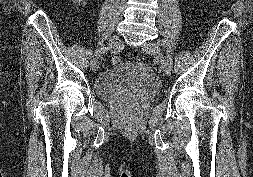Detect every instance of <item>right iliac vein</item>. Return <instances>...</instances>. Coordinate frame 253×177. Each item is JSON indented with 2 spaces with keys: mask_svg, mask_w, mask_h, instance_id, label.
<instances>
[{
  "mask_svg": "<svg viewBox=\"0 0 253 177\" xmlns=\"http://www.w3.org/2000/svg\"><path fill=\"white\" fill-rule=\"evenodd\" d=\"M121 44V39L119 36L115 35V36H112L110 39H109V42H108V46L109 48H115V47H119ZM98 60L99 58H96V60H93V57L91 59V68L93 71H96L97 68H98Z\"/></svg>",
  "mask_w": 253,
  "mask_h": 177,
  "instance_id": "right-iliac-vein-1",
  "label": "right iliac vein"
}]
</instances>
